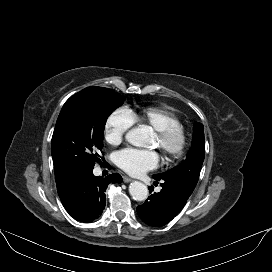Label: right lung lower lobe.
Returning a JSON list of instances; mask_svg holds the SVG:
<instances>
[{
	"instance_id": "right-lung-lower-lobe-1",
	"label": "right lung lower lobe",
	"mask_w": 272,
	"mask_h": 272,
	"mask_svg": "<svg viewBox=\"0 0 272 272\" xmlns=\"http://www.w3.org/2000/svg\"><path fill=\"white\" fill-rule=\"evenodd\" d=\"M121 183L122 177L113 173L105 178L96 177L92 171L79 176L60 196L67 212L81 222H92L106 205L105 191L109 183Z\"/></svg>"
}]
</instances>
